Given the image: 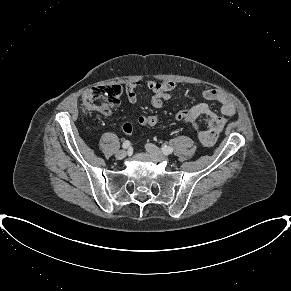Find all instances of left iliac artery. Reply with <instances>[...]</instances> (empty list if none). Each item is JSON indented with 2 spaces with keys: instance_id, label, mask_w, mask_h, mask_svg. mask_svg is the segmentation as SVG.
Returning a JSON list of instances; mask_svg holds the SVG:
<instances>
[{
  "instance_id": "obj_1",
  "label": "left iliac artery",
  "mask_w": 291,
  "mask_h": 291,
  "mask_svg": "<svg viewBox=\"0 0 291 291\" xmlns=\"http://www.w3.org/2000/svg\"><path fill=\"white\" fill-rule=\"evenodd\" d=\"M161 150L165 155H169L173 152V148L167 145L162 146Z\"/></svg>"
}]
</instances>
